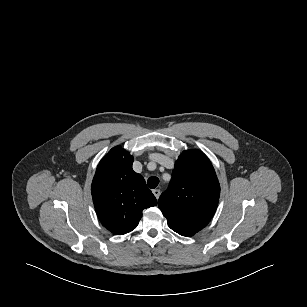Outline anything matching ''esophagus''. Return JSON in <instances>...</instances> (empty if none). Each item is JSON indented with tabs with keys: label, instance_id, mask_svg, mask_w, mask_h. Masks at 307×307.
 <instances>
[{
	"label": "esophagus",
	"instance_id": "esophagus-1",
	"mask_svg": "<svg viewBox=\"0 0 307 307\" xmlns=\"http://www.w3.org/2000/svg\"><path fill=\"white\" fill-rule=\"evenodd\" d=\"M152 192L154 196L156 197V199H159L161 191L159 189H154Z\"/></svg>",
	"mask_w": 307,
	"mask_h": 307
}]
</instances>
